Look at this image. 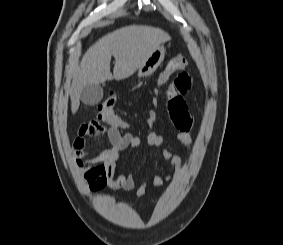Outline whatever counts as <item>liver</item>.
Masks as SVG:
<instances>
[{"label": "liver", "instance_id": "1", "mask_svg": "<svg viewBox=\"0 0 283 245\" xmlns=\"http://www.w3.org/2000/svg\"><path fill=\"white\" fill-rule=\"evenodd\" d=\"M169 40V34L163 30L141 25L123 27L100 38L86 51L73 73L70 88L72 113L79 108L85 86L131 76L160 44ZM112 56L115 58L113 75L110 72Z\"/></svg>", "mask_w": 283, "mask_h": 245}]
</instances>
